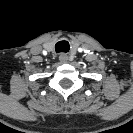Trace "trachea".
Instances as JSON below:
<instances>
[{"mask_svg": "<svg viewBox=\"0 0 133 133\" xmlns=\"http://www.w3.org/2000/svg\"><path fill=\"white\" fill-rule=\"evenodd\" d=\"M69 48H70L69 43L68 41L65 40L59 41L55 45L56 53H61V52L66 53L69 51Z\"/></svg>", "mask_w": 133, "mask_h": 133, "instance_id": "1", "label": "trachea"}]
</instances>
